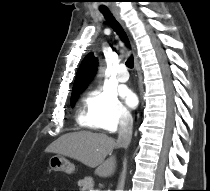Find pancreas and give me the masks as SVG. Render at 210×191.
<instances>
[{
	"label": "pancreas",
	"instance_id": "1",
	"mask_svg": "<svg viewBox=\"0 0 210 191\" xmlns=\"http://www.w3.org/2000/svg\"><path fill=\"white\" fill-rule=\"evenodd\" d=\"M78 186L81 188L82 191H91L94 187V181L91 177H86L83 180L78 181Z\"/></svg>",
	"mask_w": 210,
	"mask_h": 191
}]
</instances>
